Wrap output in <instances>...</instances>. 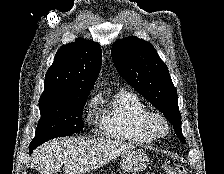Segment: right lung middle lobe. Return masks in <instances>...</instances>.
<instances>
[{
    "instance_id": "obj_1",
    "label": "right lung middle lobe",
    "mask_w": 224,
    "mask_h": 174,
    "mask_svg": "<svg viewBox=\"0 0 224 174\" xmlns=\"http://www.w3.org/2000/svg\"><path fill=\"white\" fill-rule=\"evenodd\" d=\"M88 95L65 100H39L41 118L35 137L30 144L38 147L42 143L83 130V108Z\"/></svg>"
}]
</instances>
